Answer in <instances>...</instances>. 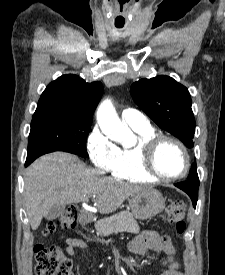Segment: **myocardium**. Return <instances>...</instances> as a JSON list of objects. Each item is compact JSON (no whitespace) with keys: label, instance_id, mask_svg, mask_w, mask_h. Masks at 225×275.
Listing matches in <instances>:
<instances>
[{"label":"myocardium","instance_id":"obj_1","mask_svg":"<svg viewBox=\"0 0 225 275\" xmlns=\"http://www.w3.org/2000/svg\"><path fill=\"white\" fill-rule=\"evenodd\" d=\"M165 142L174 143L178 146L183 154L184 157V166L180 173L172 176L162 175L158 172L156 165H155V157L157 151L161 147V145ZM139 153H140V165L142 170L154 180L160 181H172L176 179H180L184 177L190 168V156L189 152L185 146V144L180 141L179 139L168 136L157 134L150 138L144 139L139 144Z\"/></svg>","mask_w":225,"mask_h":275}]
</instances>
